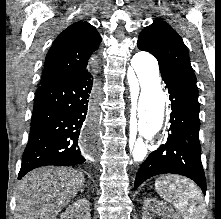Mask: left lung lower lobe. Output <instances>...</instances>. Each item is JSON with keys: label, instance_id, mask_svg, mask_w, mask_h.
I'll return each mask as SVG.
<instances>
[{"label": "left lung lower lobe", "instance_id": "obj_1", "mask_svg": "<svg viewBox=\"0 0 221 219\" xmlns=\"http://www.w3.org/2000/svg\"><path fill=\"white\" fill-rule=\"evenodd\" d=\"M171 101L170 133L164 145L150 153L135 179V189L148 178L165 173L186 176L206 193L199 143L198 90L172 75L162 74Z\"/></svg>", "mask_w": 221, "mask_h": 219}]
</instances>
